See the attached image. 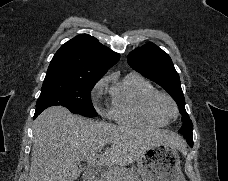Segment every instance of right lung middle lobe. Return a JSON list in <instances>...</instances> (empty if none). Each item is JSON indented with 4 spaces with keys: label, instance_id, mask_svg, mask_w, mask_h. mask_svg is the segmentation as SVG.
I'll return each mask as SVG.
<instances>
[{
    "label": "right lung middle lobe",
    "instance_id": "dd1d6c3e",
    "mask_svg": "<svg viewBox=\"0 0 228 181\" xmlns=\"http://www.w3.org/2000/svg\"><path fill=\"white\" fill-rule=\"evenodd\" d=\"M97 81H65L45 78L35 113L40 114L47 107L61 105L75 114L85 117L97 116L91 102V90Z\"/></svg>",
    "mask_w": 228,
    "mask_h": 181
}]
</instances>
